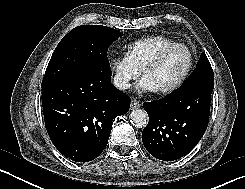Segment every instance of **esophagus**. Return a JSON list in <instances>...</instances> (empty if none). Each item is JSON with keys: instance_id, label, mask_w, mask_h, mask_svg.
I'll use <instances>...</instances> for the list:
<instances>
[{"instance_id": "1", "label": "esophagus", "mask_w": 245, "mask_h": 189, "mask_svg": "<svg viewBox=\"0 0 245 189\" xmlns=\"http://www.w3.org/2000/svg\"><path fill=\"white\" fill-rule=\"evenodd\" d=\"M140 106L141 104L139 102H137L136 100H131V104H130L131 110H135L139 108Z\"/></svg>"}]
</instances>
